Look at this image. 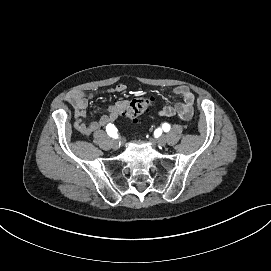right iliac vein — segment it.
<instances>
[{
    "label": "right iliac vein",
    "instance_id": "right-iliac-vein-1",
    "mask_svg": "<svg viewBox=\"0 0 271 271\" xmlns=\"http://www.w3.org/2000/svg\"><path fill=\"white\" fill-rule=\"evenodd\" d=\"M119 143H120L119 140H114V141H113V147H114V148H117L118 145H119Z\"/></svg>",
    "mask_w": 271,
    "mask_h": 271
}]
</instances>
